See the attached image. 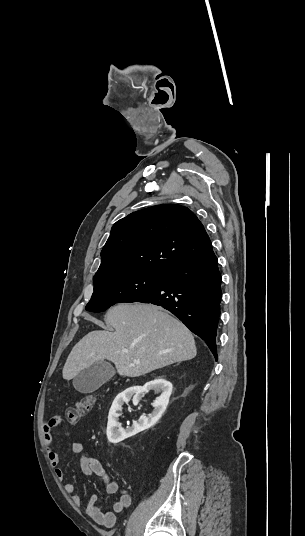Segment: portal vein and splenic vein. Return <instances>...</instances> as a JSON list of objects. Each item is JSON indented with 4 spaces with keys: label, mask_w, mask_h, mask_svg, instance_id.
Wrapping results in <instances>:
<instances>
[{
    "label": "portal vein and splenic vein",
    "mask_w": 305,
    "mask_h": 536,
    "mask_svg": "<svg viewBox=\"0 0 305 536\" xmlns=\"http://www.w3.org/2000/svg\"><path fill=\"white\" fill-rule=\"evenodd\" d=\"M134 364H140V362H138V360H134L133 364H131V366H134Z\"/></svg>",
    "instance_id": "1"
}]
</instances>
